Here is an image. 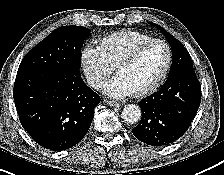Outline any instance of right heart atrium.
Masks as SVG:
<instances>
[{
    "label": "right heart atrium",
    "mask_w": 224,
    "mask_h": 175,
    "mask_svg": "<svg viewBox=\"0 0 224 175\" xmlns=\"http://www.w3.org/2000/svg\"><path fill=\"white\" fill-rule=\"evenodd\" d=\"M82 66L88 83L95 89L100 88L114 70L101 49L92 45L82 51Z\"/></svg>",
    "instance_id": "1"
}]
</instances>
